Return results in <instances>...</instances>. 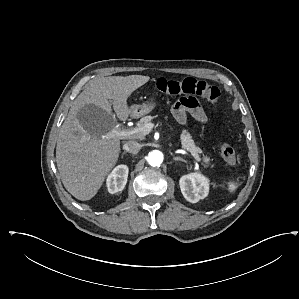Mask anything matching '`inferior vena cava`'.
Listing matches in <instances>:
<instances>
[{
  "label": "inferior vena cava",
  "mask_w": 299,
  "mask_h": 299,
  "mask_svg": "<svg viewBox=\"0 0 299 299\" xmlns=\"http://www.w3.org/2000/svg\"><path fill=\"white\" fill-rule=\"evenodd\" d=\"M123 149L129 153L137 154L141 149V145L134 140H130L124 144Z\"/></svg>",
  "instance_id": "obj_1"
}]
</instances>
